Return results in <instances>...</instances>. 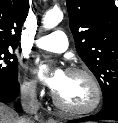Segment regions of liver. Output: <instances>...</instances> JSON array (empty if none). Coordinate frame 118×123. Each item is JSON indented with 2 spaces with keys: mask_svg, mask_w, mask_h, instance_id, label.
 Masks as SVG:
<instances>
[{
  "mask_svg": "<svg viewBox=\"0 0 118 123\" xmlns=\"http://www.w3.org/2000/svg\"><path fill=\"white\" fill-rule=\"evenodd\" d=\"M18 120L19 116L13 109L0 103V123H18Z\"/></svg>",
  "mask_w": 118,
  "mask_h": 123,
  "instance_id": "6515ba94",
  "label": "liver"
}]
</instances>
